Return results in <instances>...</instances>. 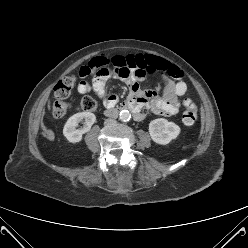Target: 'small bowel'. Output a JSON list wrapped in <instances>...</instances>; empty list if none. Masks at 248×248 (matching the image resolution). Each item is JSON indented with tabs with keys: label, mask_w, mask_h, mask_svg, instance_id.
Listing matches in <instances>:
<instances>
[{
	"label": "small bowel",
	"mask_w": 248,
	"mask_h": 248,
	"mask_svg": "<svg viewBox=\"0 0 248 248\" xmlns=\"http://www.w3.org/2000/svg\"><path fill=\"white\" fill-rule=\"evenodd\" d=\"M120 57L124 62L131 63V71L126 76L120 74L111 75L106 72L97 74L92 82L85 79L78 84L77 90L80 94L94 92L107 108H112L118 102L116 95H106L105 86L110 78L122 77L129 85V96L127 100L134 106L136 120H142L144 114L142 110H147L151 114L160 116H171L178 113L180 101L186 93L187 86L182 79L181 71L166 60L144 53L114 55ZM86 69L81 68V75L84 77ZM148 75L158 76L162 87V95H158L155 90H142L140 83Z\"/></svg>",
	"instance_id": "obj_1"
}]
</instances>
